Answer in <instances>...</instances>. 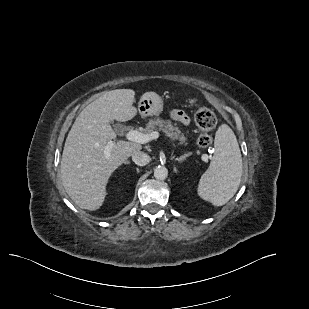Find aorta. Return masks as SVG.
I'll use <instances>...</instances> for the list:
<instances>
[{"instance_id": "aorta-1", "label": "aorta", "mask_w": 309, "mask_h": 309, "mask_svg": "<svg viewBox=\"0 0 309 309\" xmlns=\"http://www.w3.org/2000/svg\"><path fill=\"white\" fill-rule=\"evenodd\" d=\"M168 176V170L165 166L159 165L154 169V177L157 180H164Z\"/></svg>"}]
</instances>
